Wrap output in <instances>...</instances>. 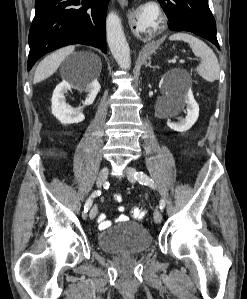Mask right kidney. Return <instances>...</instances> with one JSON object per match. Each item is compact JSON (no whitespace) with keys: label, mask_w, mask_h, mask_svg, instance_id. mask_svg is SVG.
Listing matches in <instances>:
<instances>
[{"label":"right kidney","mask_w":247,"mask_h":299,"mask_svg":"<svg viewBox=\"0 0 247 299\" xmlns=\"http://www.w3.org/2000/svg\"><path fill=\"white\" fill-rule=\"evenodd\" d=\"M74 86L71 85L67 81H62L59 83L54 89L53 96L51 99L52 106L51 111L52 114L62 123V124H74L82 122L85 117L80 108H73L65 101L64 94L71 90ZM77 88L81 91H85L88 93L84 105H91L98 92L100 91V83L97 78L93 79L91 82L84 84L82 86H77Z\"/></svg>","instance_id":"obj_1"}]
</instances>
